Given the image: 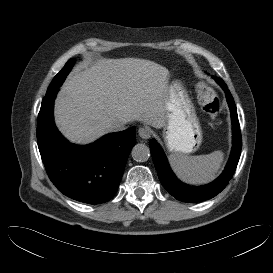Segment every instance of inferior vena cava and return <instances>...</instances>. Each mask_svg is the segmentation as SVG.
Returning <instances> with one entry per match:
<instances>
[{
	"label": "inferior vena cava",
	"mask_w": 273,
	"mask_h": 273,
	"mask_svg": "<svg viewBox=\"0 0 273 273\" xmlns=\"http://www.w3.org/2000/svg\"><path fill=\"white\" fill-rule=\"evenodd\" d=\"M126 123H124V122H114L113 124H111L110 126H109V131L110 132H117V131H120V130H122V129H124V125H125Z\"/></svg>",
	"instance_id": "obj_1"
}]
</instances>
